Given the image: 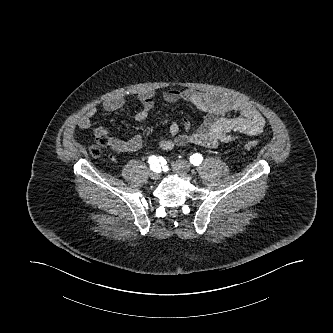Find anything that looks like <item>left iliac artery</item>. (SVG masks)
Here are the masks:
<instances>
[{
  "label": "left iliac artery",
  "mask_w": 333,
  "mask_h": 333,
  "mask_svg": "<svg viewBox=\"0 0 333 333\" xmlns=\"http://www.w3.org/2000/svg\"><path fill=\"white\" fill-rule=\"evenodd\" d=\"M202 160H203V157L199 153H195L190 156V162L195 166H199L201 164Z\"/></svg>",
  "instance_id": "44dca946"
}]
</instances>
